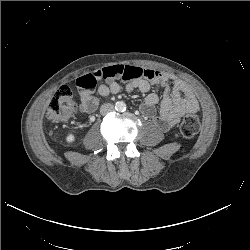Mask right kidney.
I'll list each match as a JSON object with an SVG mask.
<instances>
[{
  "label": "right kidney",
  "mask_w": 250,
  "mask_h": 250,
  "mask_svg": "<svg viewBox=\"0 0 250 250\" xmlns=\"http://www.w3.org/2000/svg\"><path fill=\"white\" fill-rule=\"evenodd\" d=\"M74 141H75V136H74V134L69 133V134L66 136V142H67V143H73Z\"/></svg>",
  "instance_id": "right-kidney-1"
}]
</instances>
